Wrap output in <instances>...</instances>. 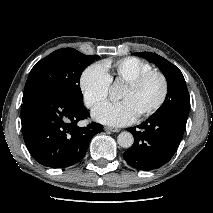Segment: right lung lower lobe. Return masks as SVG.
<instances>
[{
  "label": "right lung lower lobe",
  "instance_id": "98d812e1",
  "mask_svg": "<svg viewBox=\"0 0 213 213\" xmlns=\"http://www.w3.org/2000/svg\"><path fill=\"white\" fill-rule=\"evenodd\" d=\"M21 107L23 137L31 156L51 168H66L85 155L91 138L103 131L101 124L86 127L77 122L89 117L76 106L45 86L25 88Z\"/></svg>",
  "mask_w": 213,
  "mask_h": 213
}]
</instances>
